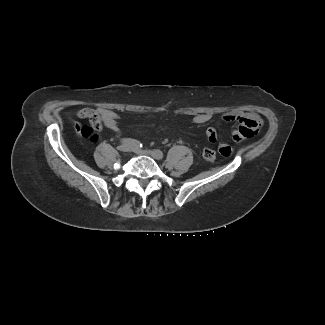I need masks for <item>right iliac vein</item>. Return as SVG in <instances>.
<instances>
[{"label": "right iliac vein", "instance_id": "right-iliac-vein-1", "mask_svg": "<svg viewBox=\"0 0 325 325\" xmlns=\"http://www.w3.org/2000/svg\"><path fill=\"white\" fill-rule=\"evenodd\" d=\"M118 150L121 152H129V151H131V148H130V146H127V145H120V146H118Z\"/></svg>", "mask_w": 325, "mask_h": 325}]
</instances>
